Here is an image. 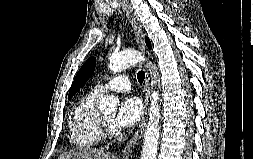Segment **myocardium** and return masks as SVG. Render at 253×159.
Wrapping results in <instances>:
<instances>
[{
	"instance_id": "myocardium-1",
	"label": "myocardium",
	"mask_w": 253,
	"mask_h": 159,
	"mask_svg": "<svg viewBox=\"0 0 253 159\" xmlns=\"http://www.w3.org/2000/svg\"><path fill=\"white\" fill-rule=\"evenodd\" d=\"M101 131L103 137H114L116 135L115 131L113 130V127L108 123V121L104 118V116L101 115Z\"/></svg>"
}]
</instances>
